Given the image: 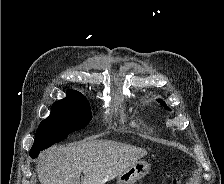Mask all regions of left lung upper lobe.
Listing matches in <instances>:
<instances>
[{
    "label": "left lung upper lobe",
    "mask_w": 224,
    "mask_h": 184,
    "mask_svg": "<svg viewBox=\"0 0 224 184\" xmlns=\"http://www.w3.org/2000/svg\"><path fill=\"white\" fill-rule=\"evenodd\" d=\"M158 102H160L161 105L164 106L166 109L170 110V108L167 107L166 104L162 100L158 99Z\"/></svg>",
    "instance_id": "left-lung-upper-lobe-1"
}]
</instances>
